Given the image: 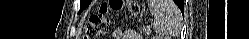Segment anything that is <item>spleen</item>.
<instances>
[{
	"label": "spleen",
	"instance_id": "1",
	"mask_svg": "<svg viewBox=\"0 0 249 39\" xmlns=\"http://www.w3.org/2000/svg\"><path fill=\"white\" fill-rule=\"evenodd\" d=\"M148 6L153 17V29L162 39L163 36L170 33L172 22L179 21V10L175 6L170 8V1L167 0H149Z\"/></svg>",
	"mask_w": 249,
	"mask_h": 39
}]
</instances>
